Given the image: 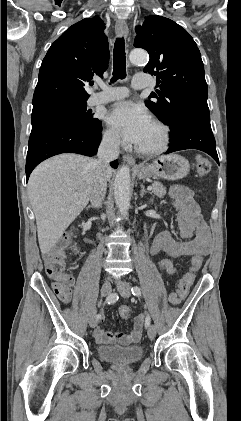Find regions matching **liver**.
<instances>
[{"label": "liver", "mask_w": 241, "mask_h": 421, "mask_svg": "<svg viewBox=\"0 0 241 421\" xmlns=\"http://www.w3.org/2000/svg\"><path fill=\"white\" fill-rule=\"evenodd\" d=\"M94 160L78 154H60L39 164L28 181L41 253H48L68 226L87 206ZM110 168L107 180L112 176Z\"/></svg>", "instance_id": "liver-1"}]
</instances>
